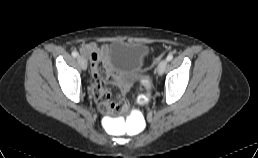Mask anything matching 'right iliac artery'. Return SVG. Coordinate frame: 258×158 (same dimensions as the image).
I'll use <instances>...</instances> for the list:
<instances>
[{"mask_svg": "<svg viewBox=\"0 0 258 158\" xmlns=\"http://www.w3.org/2000/svg\"><path fill=\"white\" fill-rule=\"evenodd\" d=\"M72 56H73V57H77V56H78V52H77V51H75V50H74V51H72Z\"/></svg>", "mask_w": 258, "mask_h": 158, "instance_id": "1", "label": "right iliac artery"}]
</instances>
